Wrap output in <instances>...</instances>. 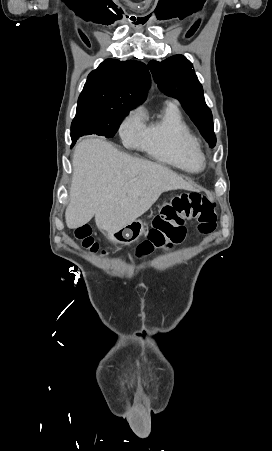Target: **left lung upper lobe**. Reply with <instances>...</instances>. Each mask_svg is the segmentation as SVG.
Instances as JSON below:
<instances>
[{
    "label": "left lung upper lobe",
    "instance_id": "obj_1",
    "mask_svg": "<svg viewBox=\"0 0 272 451\" xmlns=\"http://www.w3.org/2000/svg\"><path fill=\"white\" fill-rule=\"evenodd\" d=\"M159 89L167 96L180 101L186 113L198 127L211 147L216 144L211 110L205 103L203 88L192 68V63L183 55H174L148 64Z\"/></svg>",
    "mask_w": 272,
    "mask_h": 451
}]
</instances>
